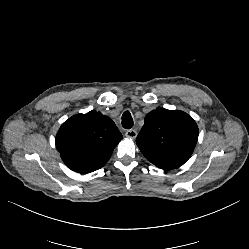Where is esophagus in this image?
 Masks as SVG:
<instances>
[{
	"mask_svg": "<svg viewBox=\"0 0 249 249\" xmlns=\"http://www.w3.org/2000/svg\"><path fill=\"white\" fill-rule=\"evenodd\" d=\"M138 133L135 129H129L125 132V136L127 138L135 139L137 137Z\"/></svg>",
	"mask_w": 249,
	"mask_h": 249,
	"instance_id": "34e87169",
	"label": "esophagus"
}]
</instances>
